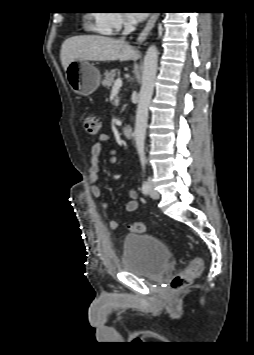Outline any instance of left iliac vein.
Segmentation results:
<instances>
[{
    "mask_svg": "<svg viewBox=\"0 0 254 355\" xmlns=\"http://www.w3.org/2000/svg\"><path fill=\"white\" fill-rule=\"evenodd\" d=\"M148 185H149V196L153 199H159L160 195L159 193L154 189L153 182L151 179H148Z\"/></svg>",
    "mask_w": 254,
    "mask_h": 355,
    "instance_id": "left-iliac-vein-1",
    "label": "left iliac vein"
}]
</instances>
